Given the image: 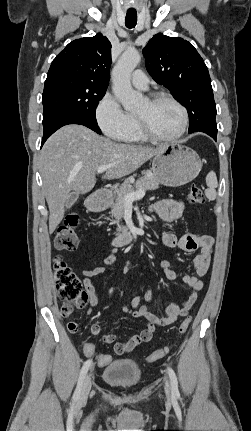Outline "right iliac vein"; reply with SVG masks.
I'll list each match as a JSON object with an SVG mask.
<instances>
[{"instance_id":"obj_1","label":"right iliac vein","mask_w":251,"mask_h":431,"mask_svg":"<svg viewBox=\"0 0 251 431\" xmlns=\"http://www.w3.org/2000/svg\"><path fill=\"white\" fill-rule=\"evenodd\" d=\"M91 386H92L91 375L88 374L83 381L81 393L79 396L80 402H84L87 400L89 392L91 390Z\"/></svg>"}]
</instances>
